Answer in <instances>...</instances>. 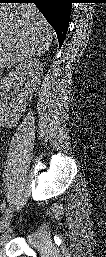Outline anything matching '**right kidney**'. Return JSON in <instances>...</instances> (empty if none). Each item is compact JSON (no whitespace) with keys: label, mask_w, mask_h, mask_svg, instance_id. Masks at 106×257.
I'll list each match as a JSON object with an SVG mask.
<instances>
[{"label":"right kidney","mask_w":106,"mask_h":257,"mask_svg":"<svg viewBox=\"0 0 106 257\" xmlns=\"http://www.w3.org/2000/svg\"><path fill=\"white\" fill-rule=\"evenodd\" d=\"M42 64L36 58H28L19 63L0 82V109L6 116L19 119L28 100L40 83ZM21 86L20 92L9 102V92L15 86Z\"/></svg>","instance_id":"ca27d5eb"}]
</instances>
